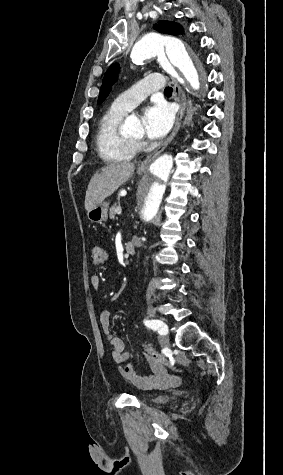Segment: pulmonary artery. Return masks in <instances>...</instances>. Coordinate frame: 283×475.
Listing matches in <instances>:
<instances>
[{
  "instance_id": "e3ab8cb5",
  "label": "pulmonary artery",
  "mask_w": 283,
  "mask_h": 475,
  "mask_svg": "<svg viewBox=\"0 0 283 475\" xmlns=\"http://www.w3.org/2000/svg\"><path fill=\"white\" fill-rule=\"evenodd\" d=\"M166 80H136L135 87H127L125 93L119 95L112 105L118 109L129 111L146 96H152L155 89H166Z\"/></svg>"
}]
</instances>
